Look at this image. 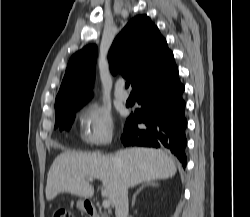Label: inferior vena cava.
Instances as JSON below:
<instances>
[{"label": "inferior vena cava", "mask_w": 250, "mask_h": 217, "mask_svg": "<svg viewBox=\"0 0 250 217\" xmlns=\"http://www.w3.org/2000/svg\"><path fill=\"white\" fill-rule=\"evenodd\" d=\"M128 190L125 185H122L118 191L116 204H115V215L116 217H128Z\"/></svg>", "instance_id": "1"}]
</instances>
